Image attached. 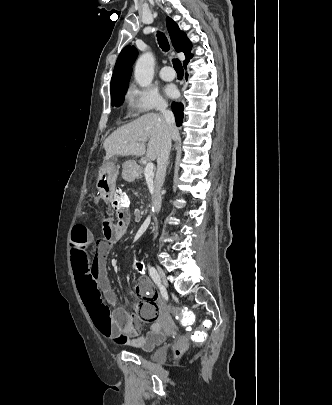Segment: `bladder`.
<instances>
[{"mask_svg": "<svg viewBox=\"0 0 332 405\" xmlns=\"http://www.w3.org/2000/svg\"><path fill=\"white\" fill-rule=\"evenodd\" d=\"M165 341H166V334L162 333L161 340L159 342L150 346L143 347L141 348V351L145 353H152L151 359L154 362L157 363L165 362L168 355V348L167 345L165 344Z\"/></svg>", "mask_w": 332, "mask_h": 405, "instance_id": "1", "label": "bladder"}]
</instances>
